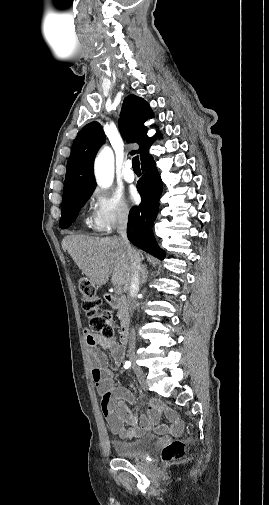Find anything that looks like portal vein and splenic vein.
I'll return each instance as SVG.
<instances>
[{
    "label": "portal vein and splenic vein",
    "instance_id": "1",
    "mask_svg": "<svg viewBox=\"0 0 269 505\" xmlns=\"http://www.w3.org/2000/svg\"><path fill=\"white\" fill-rule=\"evenodd\" d=\"M115 292H116V293H118V294H119V293H122V286H121V285H117V286L115 287Z\"/></svg>",
    "mask_w": 269,
    "mask_h": 505
}]
</instances>
